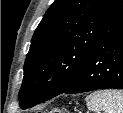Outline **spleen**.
<instances>
[{"label":"spleen","mask_w":123,"mask_h":113,"mask_svg":"<svg viewBox=\"0 0 123 113\" xmlns=\"http://www.w3.org/2000/svg\"><path fill=\"white\" fill-rule=\"evenodd\" d=\"M86 105L94 113H123V91H96L86 97Z\"/></svg>","instance_id":"3e777b00"}]
</instances>
